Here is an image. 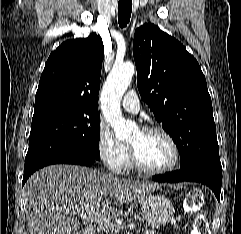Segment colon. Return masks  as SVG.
Masks as SVG:
<instances>
[{
	"instance_id": "1",
	"label": "colon",
	"mask_w": 241,
	"mask_h": 234,
	"mask_svg": "<svg viewBox=\"0 0 241 234\" xmlns=\"http://www.w3.org/2000/svg\"><path fill=\"white\" fill-rule=\"evenodd\" d=\"M203 206V194L200 190L191 191L186 197L184 208L186 212L195 214ZM191 234H208L207 223L202 215H197L193 222Z\"/></svg>"
}]
</instances>
